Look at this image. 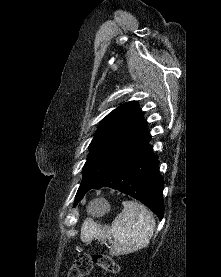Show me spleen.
<instances>
[{
	"instance_id": "obj_1",
	"label": "spleen",
	"mask_w": 221,
	"mask_h": 277,
	"mask_svg": "<svg viewBox=\"0 0 221 277\" xmlns=\"http://www.w3.org/2000/svg\"><path fill=\"white\" fill-rule=\"evenodd\" d=\"M122 204L124 209L111 226H101L90 218L85 220L81 228V240L86 244L94 238L104 242L107 237L112 236L114 241L110 254L113 256L129 254L147 247L155 228L153 214L136 201H124ZM89 211L93 213L90 208Z\"/></svg>"
}]
</instances>
